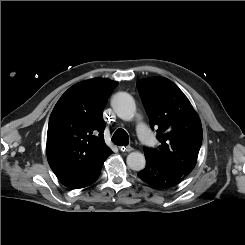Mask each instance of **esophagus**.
Returning <instances> with one entry per match:
<instances>
[{"label": "esophagus", "instance_id": "1", "mask_svg": "<svg viewBox=\"0 0 245 245\" xmlns=\"http://www.w3.org/2000/svg\"><path fill=\"white\" fill-rule=\"evenodd\" d=\"M119 149L122 152H131L133 150V148L131 146H120Z\"/></svg>", "mask_w": 245, "mask_h": 245}]
</instances>
